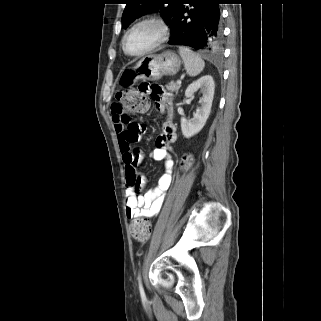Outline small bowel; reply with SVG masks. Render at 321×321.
<instances>
[{
	"instance_id": "small-bowel-1",
	"label": "small bowel",
	"mask_w": 321,
	"mask_h": 321,
	"mask_svg": "<svg viewBox=\"0 0 321 321\" xmlns=\"http://www.w3.org/2000/svg\"><path fill=\"white\" fill-rule=\"evenodd\" d=\"M136 88L139 93H145V96H153L156 109L165 114L162 134L156 139V146L151 152V157L154 160L162 161L163 173L158 182L143 195H138L130 187L126 190V216L128 219L151 218L159 213L165 192L172 182L174 160L170 152L177 138L173 99L169 93L163 90L161 82L137 83ZM112 121L128 176L129 172L137 169L144 159L143 152L133 148L132 144L141 139L146 131V126L121 113L117 104L112 105Z\"/></svg>"
}]
</instances>
